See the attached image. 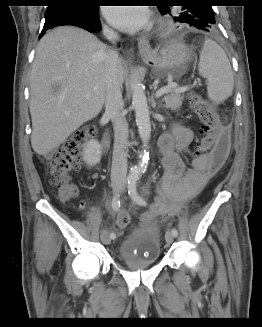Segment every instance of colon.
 <instances>
[{
  "mask_svg": "<svg viewBox=\"0 0 262 327\" xmlns=\"http://www.w3.org/2000/svg\"><path fill=\"white\" fill-rule=\"evenodd\" d=\"M190 105L201 122L200 140L195 152L208 157L211 173L218 172L224 166L230 152L228 132L220 125L215 110L202 97L191 94ZM95 132L94 126L77 131L50 160L49 180L62 201L72 200L77 195V188L70 181L71 176L79 169L82 162V149ZM182 208L181 204L174 205L159 216L161 218L172 217L178 214ZM116 221L119 227H126L130 218L125 210H121Z\"/></svg>",
  "mask_w": 262,
  "mask_h": 327,
  "instance_id": "obj_1",
  "label": "colon"
}]
</instances>
